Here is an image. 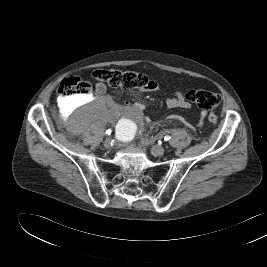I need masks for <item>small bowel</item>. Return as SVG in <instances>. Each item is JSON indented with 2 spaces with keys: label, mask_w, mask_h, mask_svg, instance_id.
<instances>
[{
  "label": "small bowel",
  "mask_w": 267,
  "mask_h": 267,
  "mask_svg": "<svg viewBox=\"0 0 267 267\" xmlns=\"http://www.w3.org/2000/svg\"><path fill=\"white\" fill-rule=\"evenodd\" d=\"M159 86L158 84L154 83V86L152 88L148 89H142L141 91H158ZM107 88L104 83L99 82L95 86V92L99 96H104L106 94ZM106 100L110 102L111 100L106 97ZM166 105L168 108H181V109H189L191 107L190 102L186 99L185 95L181 92H175L172 95H169L166 97ZM142 110V105L141 104H134L132 108H129L127 111H122L121 115L131 113L134 116V119L137 121L142 120V117L140 116V112ZM206 116L205 112L200 113L198 125L202 126L204 123V118ZM144 121L147 123L151 122L150 117H145Z\"/></svg>",
  "instance_id": "c3829d8e"
}]
</instances>
